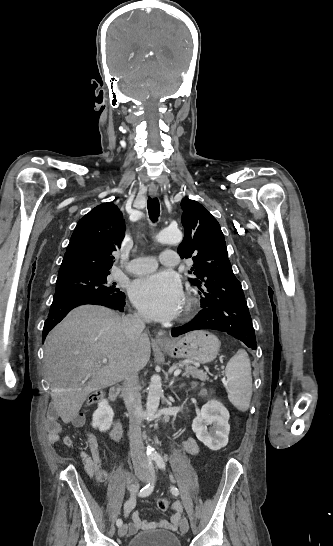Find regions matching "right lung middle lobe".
<instances>
[{
    "label": "right lung middle lobe",
    "mask_w": 333,
    "mask_h": 546,
    "mask_svg": "<svg viewBox=\"0 0 333 546\" xmlns=\"http://www.w3.org/2000/svg\"><path fill=\"white\" fill-rule=\"evenodd\" d=\"M109 274L110 272H88L59 277L56 281L53 301L72 297L120 293L121 291L118 288L107 283Z\"/></svg>",
    "instance_id": "1"
}]
</instances>
